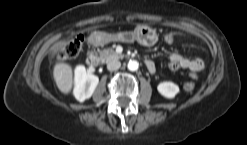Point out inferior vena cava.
Returning <instances> with one entry per match:
<instances>
[{"label": "inferior vena cava", "mask_w": 247, "mask_h": 145, "mask_svg": "<svg viewBox=\"0 0 247 145\" xmlns=\"http://www.w3.org/2000/svg\"><path fill=\"white\" fill-rule=\"evenodd\" d=\"M120 67H121V62L116 59H112L107 63V69L109 71L118 70Z\"/></svg>", "instance_id": "602c4592"}]
</instances>
